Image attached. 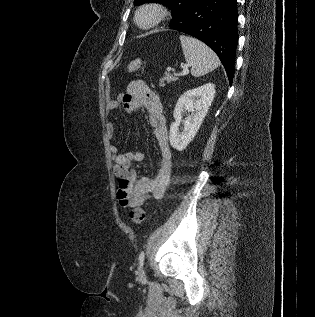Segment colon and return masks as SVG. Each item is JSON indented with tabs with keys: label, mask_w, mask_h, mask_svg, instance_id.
Listing matches in <instances>:
<instances>
[{
	"label": "colon",
	"mask_w": 315,
	"mask_h": 317,
	"mask_svg": "<svg viewBox=\"0 0 315 317\" xmlns=\"http://www.w3.org/2000/svg\"><path fill=\"white\" fill-rule=\"evenodd\" d=\"M144 63L141 59H134L128 64V71L135 73L143 69ZM130 218L135 224H141L145 219V212L141 207H135L130 212Z\"/></svg>",
	"instance_id": "5ec220e1"
}]
</instances>
